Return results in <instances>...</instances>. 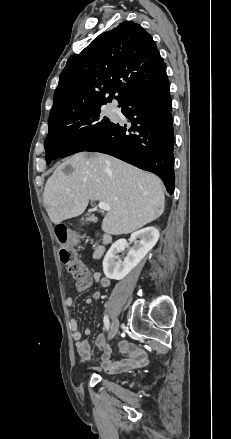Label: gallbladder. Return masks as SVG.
<instances>
[{
    "label": "gallbladder",
    "instance_id": "obj_1",
    "mask_svg": "<svg viewBox=\"0 0 231 439\" xmlns=\"http://www.w3.org/2000/svg\"><path fill=\"white\" fill-rule=\"evenodd\" d=\"M88 220H92V221H94L95 218H94V216H91V217L88 218Z\"/></svg>",
    "mask_w": 231,
    "mask_h": 439
}]
</instances>
